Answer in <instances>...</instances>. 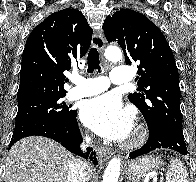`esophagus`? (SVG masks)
I'll use <instances>...</instances> for the list:
<instances>
[{
  "label": "esophagus",
  "mask_w": 196,
  "mask_h": 182,
  "mask_svg": "<svg viewBox=\"0 0 196 182\" xmlns=\"http://www.w3.org/2000/svg\"><path fill=\"white\" fill-rule=\"evenodd\" d=\"M92 45L96 47L100 52H103L105 48V38L101 31H96L92 37ZM97 155L101 162L107 161L110 158V150L108 148H98Z\"/></svg>",
  "instance_id": "esophagus-1"
}]
</instances>
